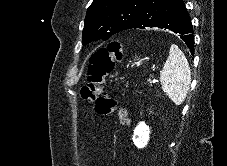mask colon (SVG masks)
I'll return each mask as SVG.
<instances>
[{
    "instance_id": "5ec220e1",
    "label": "colon",
    "mask_w": 227,
    "mask_h": 166,
    "mask_svg": "<svg viewBox=\"0 0 227 166\" xmlns=\"http://www.w3.org/2000/svg\"><path fill=\"white\" fill-rule=\"evenodd\" d=\"M121 59V44L111 42L106 48H100L92 55L88 66L87 82L81 89L82 99L95 103L96 113L107 116L116 113L120 122L127 125V111L110 94H102V85L115 63Z\"/></svg>"
}]
</instances>
